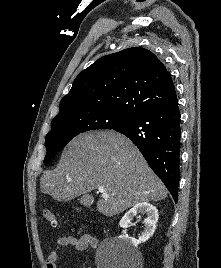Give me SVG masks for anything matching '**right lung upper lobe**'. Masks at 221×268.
Segmentation results:
<instances>
[{
	"mask_svg": "<svg viewBox=\"0 0 221 268\" xmlns=\"http://www.w3.org/2000/svg\"><path fill=\"white\" fill-rule=\"evenodd\" d=\"M177 100L170 73L151 51L133 47L98 59L74 80L58 115L110 110L133 118Z\"/></svg>",
	"mask_w": 221,
	"mask_h": 268,
	"instance_id": "1",
	"label": "right lung upper lobe"
}]
</instances>
